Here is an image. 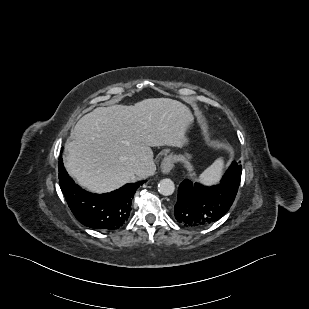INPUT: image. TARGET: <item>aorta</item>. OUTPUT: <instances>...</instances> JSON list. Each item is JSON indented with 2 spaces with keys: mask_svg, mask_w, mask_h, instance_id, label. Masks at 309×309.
<instances>
[{
  "mask_svg": "<svg viewBox=\"0 0 309 309\" xmlns=\"http://www.w3.org/2000/svg\"><path fill=\"white\" fill-rule=\"evenodd\" d=\"M175 185L171 179H162L158 184V191L164 196H170L174 193Z\"/></svg>",
  "mask_w": 309,
  "mask_h": 309,
  "instance_id": "1",
  "label": "aorta"
}]
</instances>
